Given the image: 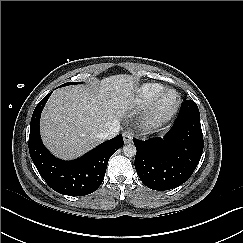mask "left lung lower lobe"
Here are the masks:
<instances>
[{
    "mask_svg": "<svg viewBox=\"0 0 243 243\" xmlns=\"http://www.w3.org/2000/svg\"><path fill=\"white\" fill-rule=\"evenodd\" d=\"M135 168L144 185L170 190L186 182L203 152V135L197 106H182L178 119L164 138H133Z\"/></svg>",
    "mask_w": 243,
    "mask_h": 243,
    "instance_id": "1",
    "label": "left lung lower lobe"
}]
</instances>
